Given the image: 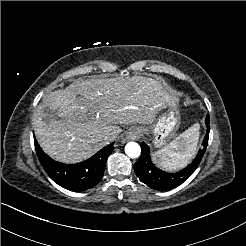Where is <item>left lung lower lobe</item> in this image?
I'll use <instances>...</instances> for the list:
<instances>
[{
    "mask_svg": "<svg viewBox=\"0 0 246 246\" xmlns=\"http://www.w3.org/2000/svg\"><path fill=\"white\" fill-rule=\"evenodd\" d=\"M205 123L207 126V134L203 139V143H202L203 148L199 150L196 158L188 167L175 174L166 173L155 167V165L152 163L150 159L149 147L144 142L141 143V148H142L141 157L134 164V170L136 175L139 177V179L143 183L148 185L150 188L159 191L169 190L174 187H177L178 185L183 183L186 179H188L200 164L208 144L209 131H210L209 115H207Z\"/></svg>",
    "mask_w": 246,
    "mask_h": 246,
    "instance_id": "left-lung-lower-lobe-1",
    "label": "left lung lower lobe"
}]
</instances>
